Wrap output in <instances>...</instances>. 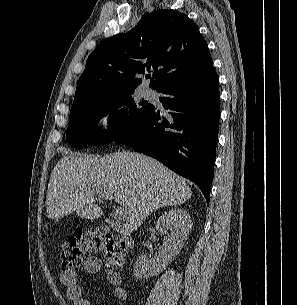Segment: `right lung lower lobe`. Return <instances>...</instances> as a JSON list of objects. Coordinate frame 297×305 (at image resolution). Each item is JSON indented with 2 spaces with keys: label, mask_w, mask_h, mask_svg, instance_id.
I'll use <instances>...</instances> for the list:
<instances>
[{
  "label": "right lung lower lobe",
  "mask_w": 297,
  "mask_h": 305,
  "mask_svg": "<svg viewBox=\"0 0 297 305\" xmlns=\"http://www.w3.org/2000/svg\"><path fill=\"white\" fill-rule=\"evenodd\" d=\"M159 100L140 121L114 141L132 146L193 181L209 204L219 132L220 92L215 68L191 80L162 87Z\"/></svg>",
  "instance_id": "98d812e1"
}]
</instances>
